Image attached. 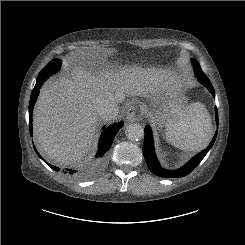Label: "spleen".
<instances>
[{"instance_id":"obj_1","label":"spleen","mask_w":245,"mask_h":245,"mask_svg":"<svg viewBox=\"0 0 245 245\" xmlns=\"http://www.w3.org/2000/svg\"><path fill=\"white\" fill-rule=\"evenodd\" d=\"M212 135L210 114L199 102L189 105L177 120L166 125L167 141L181 150L200 151L207 147Z\"/></svg>"}]
</instances>
